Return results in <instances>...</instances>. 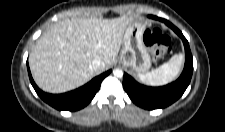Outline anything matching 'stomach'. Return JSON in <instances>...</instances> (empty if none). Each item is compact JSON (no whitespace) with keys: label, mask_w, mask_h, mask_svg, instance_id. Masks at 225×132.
Instances as JSON below:
<instances>
[{"label":"stomach","mask_w":225,"mask_h":132,"mask_svg":"<svg viewBox=\"0 0 225 132\" xmlns=\"http://www.w3.org/2000/svg\"><path fill=\"white\" fill-rule=\"evenodd\" d=\"M145 25L138 20L129 24L124 32L120 63L138 74L146 73L151 59L144 42Z\"/></svg>","instance_id":"0dacf381"}]
</instances>
